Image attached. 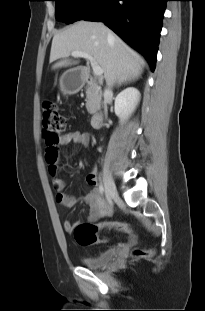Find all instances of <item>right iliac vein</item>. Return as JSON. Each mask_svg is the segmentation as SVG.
Here are the masks:
<instances>
[{
    "label": "right iliac vein",
    "mask_w": 205,
    "mask_h": 311,
    "mask_svg": "<svg viewBox=\"0 0 205 311\" xmlns=\"http://www.w3.org/2000/svg\"><path fill=\"white\" fill-rule=\"evenodd\" d=\"M104 185H105V190L107 193V196L110 199H115L118 197L117 189L114 183V180L108 170V168L105 166L104 167Z\"/></svg>",
    "instance_id": "63e3f726"
}]
</instances>
